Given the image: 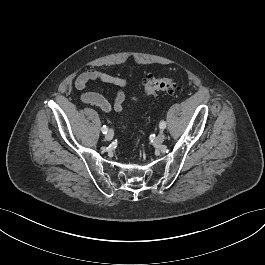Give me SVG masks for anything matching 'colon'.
<instances>
[{
    "label": "colon",
    "instance_id": "5ec220e1",
    "mask_svg": "<svg viewBox=\"0 0 265 265\" xmlns=\"http://www.w3.org/2000/svg\"><path fill=\"white\" fill-rule=\"evenodd\" d=\"M144 90L147 95H157L158 93H174L179 90V84L172 77H156L147 74L143 80Z\"/></svg>",
    "mask_w": 265,
    "mask_h": 265
}]
</instances>
